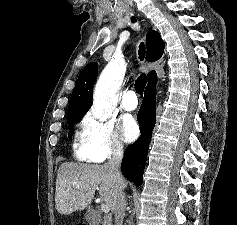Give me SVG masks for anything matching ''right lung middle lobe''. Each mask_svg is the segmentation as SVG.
<instances>
[{"instance_id": "right-lung-middle-lobe-1", "label": "right lung middle lobe", "mask_w": 237, "mask_h": 225, "mask_svg": "<svg viewBox=\"0 0 237 225\" xmlns=\"http://www.w3.org/2000/svg\"><path fill=\"white\" fill-rule=\"evenodd\" d=\"M86 112L84 111H75V112H71V113H68L67 114V123L69 125H73V124H76L77 122H79L82 117L84 116ZM72 134H73V131L71 130L69 133H68V137L71 139L72 137Z\"/></svg>"}]
</instances>
